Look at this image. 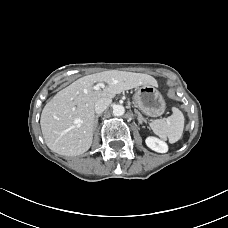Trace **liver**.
Wrapping results in <instances>:
<instances>
[{"label": "liver", "instance_id": "6515ba94", "mask_svg": "<svg viewBox=\"0 0 228 228\" xmlns=\"http://www.w3.org/2000/svg\"><path fill=\"white\" fill-rule=\"evenodd\" d=\"M97 82L107 84L94 90ZM158 86L148 74L109 70L84 76L59 91L43 108L40 125L46 145L63 156L86 152L93 140L95 104L125 90Z\"/></svg>", "mask_w": 228, "mask_h": 228}]
</instances>
